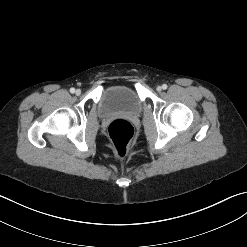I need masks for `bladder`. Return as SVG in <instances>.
<instances>
[{
    "label": "bladder",
    "instance_id": "31cf9c89",
    "mask_svg": "<svg viewBox=\"0 0 247 247\" xmlns=\"http://www.w3.org/2000/svg\"><path fill=\"white\" fill-rule=\"evenodd\" d=\"M142 102L136 91L126 85H114L108 87L100 101L102 115L124 113L135 115L140 112Z\"/></svg>",
    "mask_w": 247,
    "mask_h": 247
}]
</instances>
